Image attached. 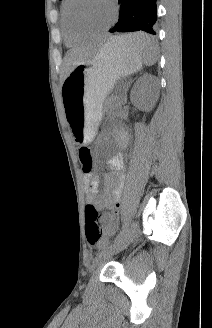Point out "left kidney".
Here are the masks:
<instances>
[{
    "instance_id": "obj_1",
    "label": "left kidney",
    "mask_w": 212,
    "mask_h": 328,
    "mask_svg": "<svg viewBox=\"0 0 212 328\" xmlns=\"http://www.w3.org/2000/svg\"><path fill=\"white\" fill-rule=\"evenodd\" d=\"M130 99L134 105L141 107L143 110H152L158 99V82L156 78L147 74L140 77L131 91Z\"/></svg>"
}]
</instances>
